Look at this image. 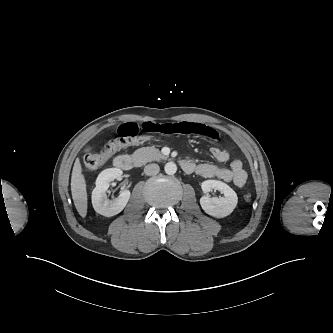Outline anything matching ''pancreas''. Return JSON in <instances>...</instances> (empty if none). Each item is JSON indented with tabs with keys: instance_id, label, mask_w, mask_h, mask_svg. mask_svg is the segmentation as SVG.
Wrapping results in <instances>:
<instances>
[{
	"instance_id": "obj_1",
	"label": "pancreas",
	"mask_w": 333,
	"mask_h": 333,
	"mask_svg": "<svg viewBox=\"0 0 333 333\" xmlns=\"http://www.w3.org/2000/svg\"><path fill=\"white\" fill-rule=\"evenodd\" d=\"M133 157L139 165H143L151 161H159L165 158L164 155H162V153L154 146L139 148L134 152Z\"/></svg>"
}]
</instances>
